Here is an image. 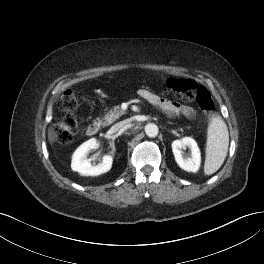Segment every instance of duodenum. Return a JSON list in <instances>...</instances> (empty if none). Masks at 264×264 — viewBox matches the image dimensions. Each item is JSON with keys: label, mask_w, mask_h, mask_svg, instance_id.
<instances>
[{"label": "duodenum", "mask_w": 264, "mask_h": 264, "mask_svg": "<svg viewBox=\"0 0 264 264\" xmlns=\"http://www.w3.org/2000/svg\"><path fill=\"white\" fill-rule=\"evenodd\" d=\"M100 123L98 121L92 122L87 128V134L89 136H95L99 132Z\"/></svg>", "instance_id": "1"}]
</instances>
